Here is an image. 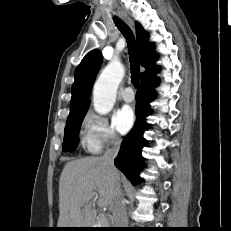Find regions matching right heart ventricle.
<instances>
[{
  "mask_svg": "<svg viewBox=\"0 0 231 231\" xmlns=\"http://www.w3.org/2000/svg\"><path fill=\"white\" fill-rule=\"evenodd\" d=\"M82 144L89 148V140L86 136L82 139Z\"/></svg>",
  "mask_w": 231,
  "mask_h": 231,
  "instance_id": "e07e8e85",
  "label": "right heart ventricle"
}]
</instances>
